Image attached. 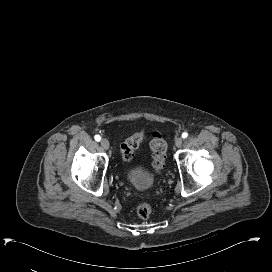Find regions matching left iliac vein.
Listing matches in <instances>:
<instances>
[{"mask_svg": "<svg viewBox=\"0 0 272 272\" xmlns=\"http://www.w3.org/2000/svg\"><path fill=\"white\" fill-rule=\"evenodd\" d=\"M183 143V139L181 137H178L175 139V145L176 147H181Z\"/></svg>", "mask_w": 272, "mask_h": 272, "instance_id": "obj_1", "label": "left iliac vein"}]
</instances>
